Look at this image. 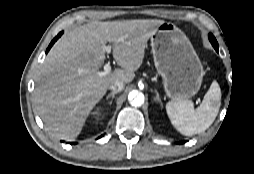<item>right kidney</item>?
<instances>
[{"label": "right kidney", "instance_id": "obj_1", "mask_svg": "<svg viewBox=\"0 0 254 174\" xmlns=\"http://www.w3.org/2000/svg\"><path fill=\"white\" fill-rule=\"evenodd\" d=\"M100 113H101V112L98 110L95 114H96L97 116H99Z\"/></svg>", "mask_w": 254, "mask_h": 174}]
</instances>
